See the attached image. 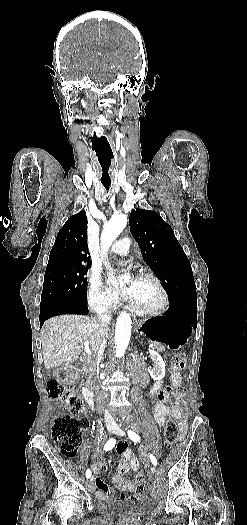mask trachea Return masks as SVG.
<instances>
[{"label": "trachea", "instance_id": "1", "mask_svg": "<svg viewBox=\"0 0 247 525\" xmlns=\"http://www.w3.org/2000/svg\"><path fill=\"white\" fill-rule=\"evenodd\" d=\"M102 184L104 185V187L108 190L110 185H111V182H105V181H102Z\"/></svg>", "mask_w": 247, "mask_h": 525}]
</instances>
